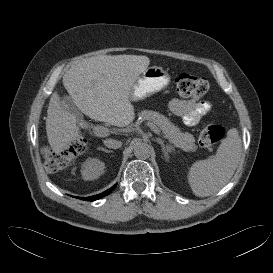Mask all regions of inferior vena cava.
Masks as SVG:
<instances>
[{
	"label": "inferior vena cava",
	"mask_w": 273,
	"mask_h": 273,
	"mask_svg": "<svg viewBox=\"0 0 273 273\" xmlns=\"http://www.w3.org/2000/svg\"><path fill=\"white\" fill-rule=\"evenodd\" d=\"M104 145L108 148L118 149L122 146V142L115 139H106Z\"/></svg>",
	"instance_id": "obj_1"
}]
</instances>
